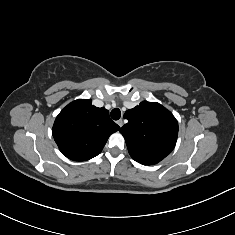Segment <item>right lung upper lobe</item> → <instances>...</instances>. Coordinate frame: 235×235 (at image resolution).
I'll return each instance as SVG.
<instances>
[{
	"label": "right lung upper lobe",
	"mask_w": 235,
	"mask_h": 235,
	"mask_svg": "<svg viewBox=\"0 0 235 235\" xmlns=\"http://www.w3.org/2000/svg\"><path fill=\"white\" fill-rule=\"evenodd\" d=\"M119 129L108 110L93 106L90 99H78L59 113L52 133L67 158L86 161L97 156L109 136Z\"/></svg>",
	"instance_id": "cb5924a9"
}]
</instances>
